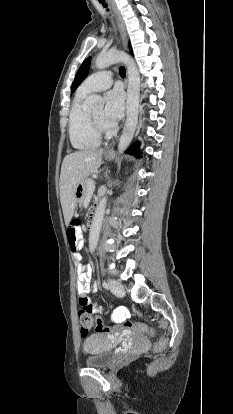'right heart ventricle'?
<instances>
[{
  "mask_svg": "<svg viewBox=\"0 0 233 414\" xmlns=\"http://www.w3.org/2000/svg\"><path fill=\"white\" fill-rule=\"evenodd\" d=\"M89 93L79 88L69 111V138L72 146L79 150L93 149L99 146L100 136L91 129L89 111L84 100Z\"/></svg>",
  "mask_w": 233,
  "mask_h": 414,
  "instance_id": "e07e8e85",
  "label": "right heart ventricle"
}]
</instances>
